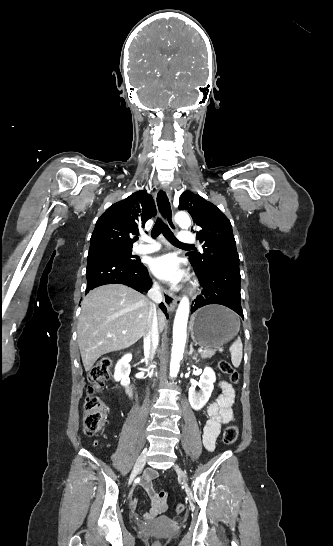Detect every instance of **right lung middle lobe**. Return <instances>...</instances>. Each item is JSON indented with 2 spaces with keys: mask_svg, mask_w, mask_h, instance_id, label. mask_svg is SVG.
<instances>
[{
  "mask_svg": "<svg viewBox=\"0 0 333 546\" xmlns=\"http://www.w3.org/2000/svg\"><path fill=\"white\" fill-rule=\"evenodd\" d=\"M131 249L132 247H106V248H101L99 250H96L94 252H102V253L111 254L129 262L139 261L137 256L132 255Z\"/></svg>",
  "mask_w": 333,
  "mask_h": 546,
  "instance_id": "right-lung-middle-lobe-1",
  "label": "right lung middle lobe"
}]
</instances>
